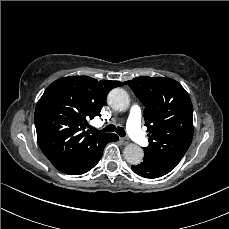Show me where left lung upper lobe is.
I'll list each match as a JSON object with an SVG mask.
<instances>
[{
  "label": "left lung upper lobe",
  "instance_id": "left-lung-upper-lobe-1",
  "mask_svg": "<svg viewBox=\"0 0 229 229\" xmlns=\"http://www.w3.org/2000/svg\"><path fill=\"white\" fill-rule=\"evenodd\" d=\"M145 106L150 132L143 148L145 162L157 171H172L188 150L193 137V107L180 83L165 77L141 76L124 82Z\"/></svg>",
  "mask_w": 229,
  "mask_h": 229
}]
</instances>
